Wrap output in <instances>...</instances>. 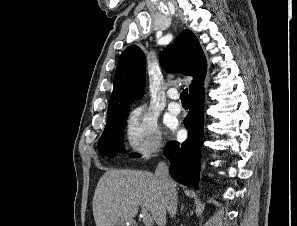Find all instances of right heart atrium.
Here are the masks:
<instances>
[{
  "instance_id": "d8ad5b80",
  "label": "right heart atrium",
  "mask_w": 297,
  "mask_h": 226,
  "mask_svg": "<svg viewBox=\"0 0 297 226\" xmlns=\"http://www.w3.org/2000/svg\"><path fill=\"white\" fill-rule=\"evenodd\" d=\"M126 136L129 147L144 157L159 152L163 146L155 117L145 106H139L130 113Z\"/></svg>"
}]
</instances>
